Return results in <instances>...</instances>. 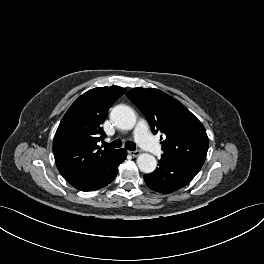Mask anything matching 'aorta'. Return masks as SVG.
<instances>
[{
  "label": "aorta",
  "mask_w": 264,
  "mask_h": 264,
  "mask_svg": "<svg viewBox=\"0 0 264 264\" xmlns=\"http://www.w3.org/2000/svg\"><path fill=\"white\" fill-rule=\"evenodd\" d=\"M111 120L115 125L123 130H131L136 124V114L127 105H117L110 113ZM137 165L141 172L152 173L157 166V161L153 155L143 153L137 158Z\"/></svg>",
  "instance_id": "1"
}]
</instances>
